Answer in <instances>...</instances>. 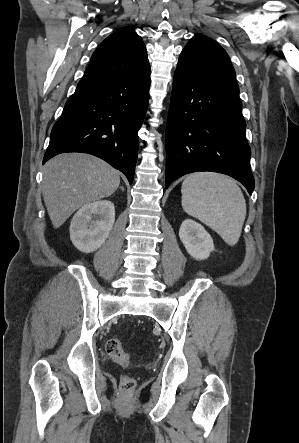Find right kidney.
Instances as JSON below:
<instances>
[{
	"instance_id": "1",
	"label": "right kidney",
	"mask_w": 299,
	"mask_h": 443,
	"mask_svg": "<svg viewBox=\"0 0 299 443\" xmlns=\"http://www.w3.org/2000/svg\"><path fill=\"white\" fill-rule=\"evenodd\" d=\"M114 204L108 200L95 201L83 206L70 224V239L84 253L99 249L113 228Z\"/></svg>"
}]
</instances>
